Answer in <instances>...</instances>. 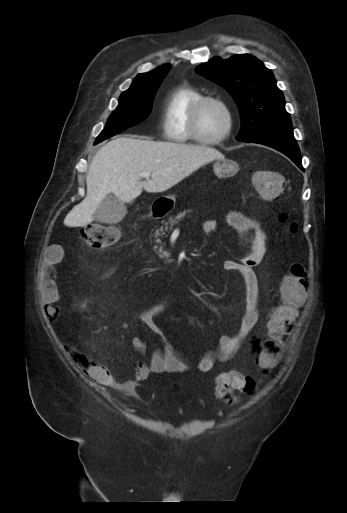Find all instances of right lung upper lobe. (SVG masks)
I'll list each match as a JSON object with an SVG mask.
<instances>
[{
  "label": "right lung upper lobe",
  "instance_id": "1",
  "mask_svg": "<svg viewBox=\"0 0 347 513\" xmlns=\"http://www.w3.org/2000/svg\"><path fill=\"white\" fill-rule=\"evenodd\" d=\"M170 67H171L170 65H163L162 67H159L150 72L139 74L134 79L131 87L127 91L134 90L136 88H139L140 86H143V85H146V84H149L152 82L162 81L163 78L168 73Z\"/></svg>",
  "mask_w": 347,
  "mask_h": 513
}]
</instances>
